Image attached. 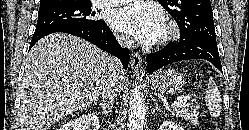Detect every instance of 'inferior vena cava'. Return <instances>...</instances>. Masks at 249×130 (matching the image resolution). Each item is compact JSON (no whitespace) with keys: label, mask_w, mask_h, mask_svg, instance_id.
I'll use <instances>...</instances> for the list:
<instances>
[{"label":"inferior vena cava","mask_w":249,"mask_h":130,"mask_svg":"<svg viewBox=\"0 0 249 130\" xmlns=\"http://www.w3.org/2000/svg\"><path fill=\"white\" fill-rule=\"evenodd\" d=\"M117 40L122 47L132 48L134 42L129 37L117 36ZM109 79L102 90V97L113 104L118 92V74L121 73V63L117 58H112V70Z\"/></svg>","instance_id":"obj_1"}]
</instances>
